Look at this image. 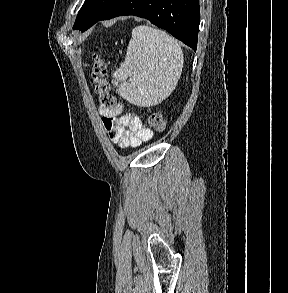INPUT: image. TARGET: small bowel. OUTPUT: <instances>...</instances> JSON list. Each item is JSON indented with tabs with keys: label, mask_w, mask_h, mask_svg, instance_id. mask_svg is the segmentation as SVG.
Here are the masks:
<instances>
[{
	"label": "small bowel",
	"mask_w": 288,
	"mask_h": 293,
	"mask_svg": "<svg viewBox=\"0 0 288 293\" xmlns=\"http://www.w3.org/2000/svg\"><path fill=\"white\" fill-rule=\"evenodd\" d=\"M123 105L100 107L103 126L111 141L121 148L138 147L152 139L153 132L132 114H122Z\"/></svg>",
	"instance_id": "obj_1"
}]
</instances>
